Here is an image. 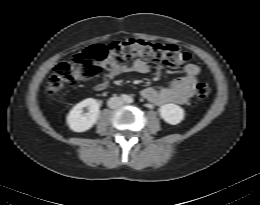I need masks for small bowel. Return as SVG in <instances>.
<instances>
[{
  "mask_svg": "<svg viewBox=\"0 0 260 205\" xmlns=\"http://www.w3.org/2000/svg\"><path fill=\"white\" fill-rule=\"evenodd\" d=\"M103 77L94 84L96 91H104L108 88L110 82L119 75L135 72L146 74L149 72V65L142 59H136L132 64H120L112 56H108L102 62ZM200 67L194 63H188L184 67V76L173 80L168 87L143 89L142 95L147 100L156 105H165L176 103L185 105L193 97L195 87L198 82Z\"/></svg>",
  "mask_w": 260,
  "mask_h": 205,
  "instance_id": "c3829d8e",
  "label": "small bowel"
}]
</instances>
